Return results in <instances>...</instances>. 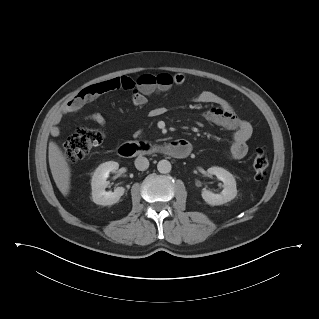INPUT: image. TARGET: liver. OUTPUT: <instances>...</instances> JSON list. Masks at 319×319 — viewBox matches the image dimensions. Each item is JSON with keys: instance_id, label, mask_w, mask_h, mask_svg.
Returning a JSON list of instances; mask_svg holds the SVG:
<instances>
[{"instance_id": "liver-1", "label": "liver", "mask_w": 319, "mask_h": 319, "mask_svg": "<svg viewBox=\"0 0 319 319\" xmlns=\"http://www.w3.org/2000/svg\"><path fill=\"white\" fill-rule=\"evenodd\" d=\"M48 157H49V166L53 179L56 183L59 191L67 196L70 191V181H71V169L66 161V158L58 147V145L51 141L48 147Z\"/></svg>"}]
</instances>
